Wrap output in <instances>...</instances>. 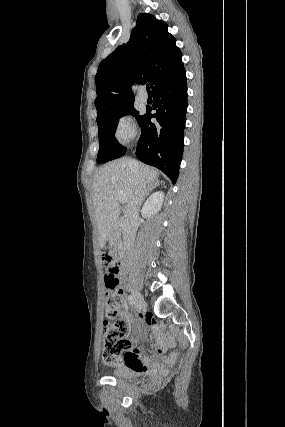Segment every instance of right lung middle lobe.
<instances>
[{"mask_svg":"<svg viewBox=\"0 0 285 427\" xmlns=\"http://www.w3.org/2000/svg\"><path fill=\"white\" fill-rule=\"evenodd\" d=\"M127 114L136 116L139 124L143 119V116H138V111L135 110L134 106L130 105L114 113L106 120L98 123L99 152L97 156V163L108 162L110 160L119 158L126 153V148L118 143L114 136V132L117 128L119 118Z\"/></svg>","mask_w":285,"mask_h":427,"instance_id":"dd1d6c3e","label":"right lung middle lobe"}]
</instances>
